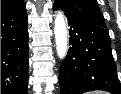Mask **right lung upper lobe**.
I'll return each mask as SVG.
<instances>
[{
	"instance_id": "cb5924a9",
	"label": "right lung upper lobe",
	"mask_w": 121,
	"mask_h": 94,
	"mask_svg": "<svg viewBox=\"0 0 121 94\" xmlns=\"http://www.w3.org/2000/svg\"><path fill=\"white\" fill-rule=\"evenodd\" d=\"M20 2L22 0H1V12L16 6Z\"/></svg>"
}]
</instances>
